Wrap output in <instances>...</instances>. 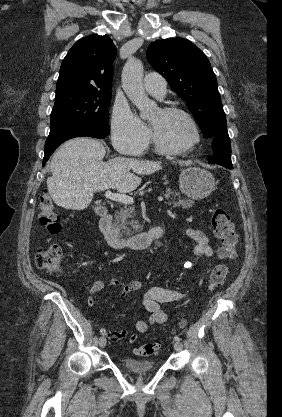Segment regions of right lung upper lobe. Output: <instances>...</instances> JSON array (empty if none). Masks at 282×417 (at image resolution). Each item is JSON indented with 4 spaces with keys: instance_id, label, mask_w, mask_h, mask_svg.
Masks as SVG:
<instances>
[{
    "instance_id": "obj_1",
    "label": "right lung upper lobe",
    "mask_w": 282,
    "mask_h": 417,
    "mask_svg": "<svg viewBox=\"0 0 282 417\" xmlns=\"http://www.w3.org/2000/svg\"><path fill=\"white\" fill-rule=\"evenodd\" d=\"M116 47L109 36L90 35L77 41L62 61L56 93L112 89Z\"/></svg>"
}]
</instances>
